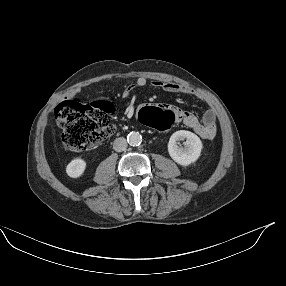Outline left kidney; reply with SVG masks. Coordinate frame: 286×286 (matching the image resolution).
<instances>
[{
    "instance_id": "obj_1",
    "label": "left kidney",
    "mask_w": 286,
    "mask_h": 286,
    "mask_svg": "<svg viewBox=\"0 0 286 286\" xmlns=\"http://www.w3.org/2000/svg\"><path fill=\"white\" fill-rule=\"evenodd\" d=\"M185 146L178 141L185 140ZM203 148L202 141L194 133L179 130L172 134L168 143V153L171 158L182 166H188L197 161Z\"/></svg>"
}]
</instances>
